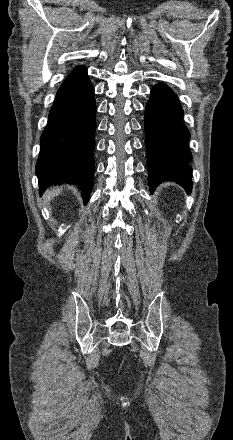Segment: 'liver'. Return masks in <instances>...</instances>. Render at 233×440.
Listing matches in <instances>:
<instances>
[{
  "label": "liver",
  "mask_w": 233,
  "mask_h": 440,
  "mask_svg": "<svg viewBox=\"0 0 233 440\" xmlns=\"http://www.w3.org/2000/svg\"><path fill=\"white\" fill-rule=\"evenodd\" d=\"M62 191V187L51 188L46 193L47 199H52L54 196L58 195Z\"/></svg>",
  "instance_id": "1"
}]
</instances>
